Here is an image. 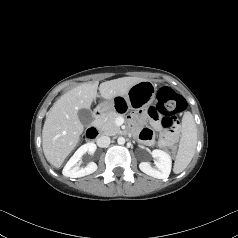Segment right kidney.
I'll list each match as a JSON object with an SVG mask.
<instances>
[{
  "mask_svg": "<svg viewBox=\"0 0 238 238\" xmlns=\"http://www.w3.org/2000/svg\"><path fill=\"white\" fill-rule=\"evenodd\" d=\"M96 150L94 143H86L82 145L74 155L69 159L65 165L62 173L66 177L79 178L89 174H92L97 170V165L94 162L89 163L85 168H80L78 162L85 153L93 154Z\"/></svg>",
  "mask_w": 238,
  "mask_h": 238,
  "instance_id": "ca27d5eb",
  "label": "right kidney"
}]
</instances>
